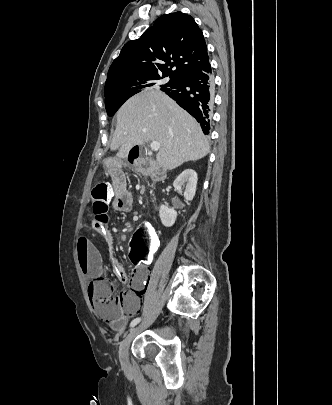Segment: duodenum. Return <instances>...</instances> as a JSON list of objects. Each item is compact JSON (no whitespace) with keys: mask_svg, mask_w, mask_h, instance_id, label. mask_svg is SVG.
Returning <instances> with one entry per match:
<instances>
[{"mask_svg":"<svg viewBox=\"0 0 332 405\" xmlns=\"http://www.w3.org/2000/svg\"><path fill=\"white\" fill-rule=\"evenodd\" d=\"M141 157V153L138 150H131L128 154V161L130 164L136 163ZM150 176L153 181L159 182L165 179V176L162 172H159L157 169H151Z\"/></svg>","mask_w":332,"mask_h":405,"instance_id":"duodenum-1","label":"duodenum"}]
</instances>
